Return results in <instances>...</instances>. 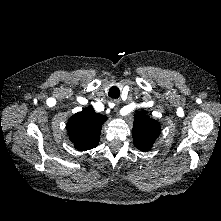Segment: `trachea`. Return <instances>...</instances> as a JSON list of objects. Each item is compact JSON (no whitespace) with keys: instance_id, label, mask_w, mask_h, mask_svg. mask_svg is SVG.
Wrapping results in <instances>:
<instances>
[{"instance_id":"obj_1","label":"trachea","mask_w":221,"mask_h":221,"mask_svg":"<svg viewBox=\"0 0 221 221\" xmlns=\"http://www.w3.org/2000/svg\"><path fill=\"white\" fill-rule=\"evenodd\" d=\"M108 95L111 98H118L120 96V90L117 87L113 86L110 88Z\"/></svg>"}]
</instances>
